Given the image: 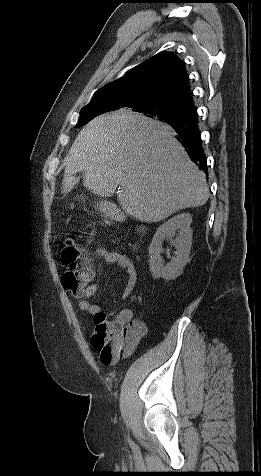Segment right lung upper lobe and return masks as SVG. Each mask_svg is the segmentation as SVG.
Wrapping results in <instances>:
<instances>
[{
	"label": "right lung upper lobe",
	"instance_id": "cb5924a9",
	"mask_svg": "<svg viewBox=\"0 0 261 476\" xmlns=\"http://www.w3.org/2000/svg\"><path fill=\"white\" fill-rule=\"evenodd\" d=\"M106 96L119 98V110H132L147 103L183 111L195 108L184 63L169 52L153 56L97 90L91 101Z\"/></svg>",
	"mask_w": 261,
	"mask_h": 476
}]
</instances>
